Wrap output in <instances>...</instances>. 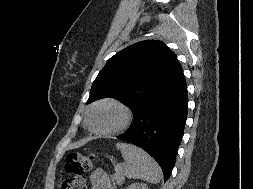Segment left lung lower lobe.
<instances>
[{
  "mask_svg": "<svg viewBox=\"0 0 253 189\" xmlns=\"http://www.w3.org/2000/svg\"><path fill=\"white\" fill-rule=\"evenodd\" d=\"M187 104V84L182 72L165 91L141 108L130 128L118 136L147 151L161 166L164 181L172 172L184 134Z\"/></svg>",
  "mask_w": 253,
  "mask_h": 189,
  "instance_id": "obj_1",
  "label": "left lung lower lobe"
}]
</instances>
